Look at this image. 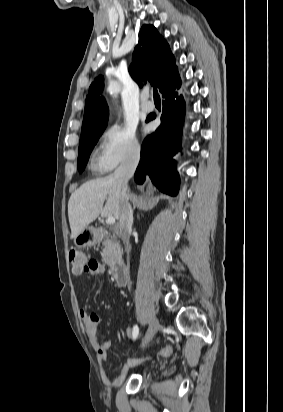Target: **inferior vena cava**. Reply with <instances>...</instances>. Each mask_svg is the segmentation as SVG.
Segmentation results:
<instances>
[{"instance_id": "1", "label": "inferior vena cava", "mask_w": 283, "mask_h": 412, "mask_svg": "<svg viewBox=\"0 0 283 412\" xmlns=\"http://www.w3.org/2000/svg\"><path fill=\"white\" fill-rule=\"evenodd\" d=\"M140 159V148L131 149L115 170L114 176L118 178L122 185V200L119 215V234L125 245V250L129 256L131 245L129 242L133 224V210L129 203L128 181L134 174Z\"/></svg>"}]
</instances>
